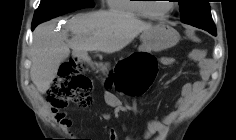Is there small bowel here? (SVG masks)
Wrapping results in <instances>:
<instances>
[{
	"label": "small bowel",
	"mask_w": 236,
	"mask_h": 140,
	"mask_svg": "<svg viewBox=\"0 0 236 140\" xmlns=\"http://www.w3.org/2000/svg\"><path fill=\"white\" fill-rule=\"evenodd\" d=\"M189 59L198 63L201 70V78L194 82L185 83L181 88L180 96L175 102L174 108L163 117L152 119L148 122L143 135L145 139L164 140L167 136L169 126L187 110L195 98L204 90L209 73L203 51H191L189 53ZM159 61L163 66H170L175 62L174 58L169 56H162ZM54 115L63 128L68 129L71 127L72 121L66 112L58 110L54 112ZM105 117L109 119L110 115L106 114ZM109 140H119V131L116 128H110ZM126 140L136 139L128 135Z\"/></svg>",
	"instance_id": "small-bowel-1"
}]
</instances>
